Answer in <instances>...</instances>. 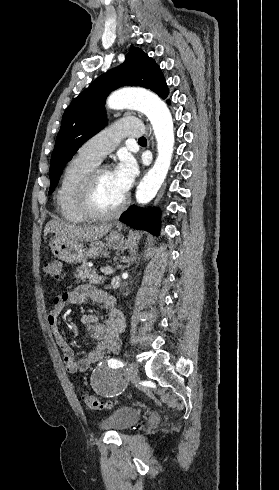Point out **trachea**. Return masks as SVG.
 Wrapping results in <instances>:
<instances>
[{
	"label": "trachea",
	"instance_id": "3493384b",
	"mask_svg": "<svg viewBox=\"0 0 279 490\" xmlns=\"http://www.w3.org/2000/svg\"><path fill=\"white\" fill-rule=\"evenodd\" d=\"M138 142L139 143H146V138L145 137H141V138H139Z\"/></svg>",
	"mask_w": 279,
	"mask_h": 490
}]
</instances>
